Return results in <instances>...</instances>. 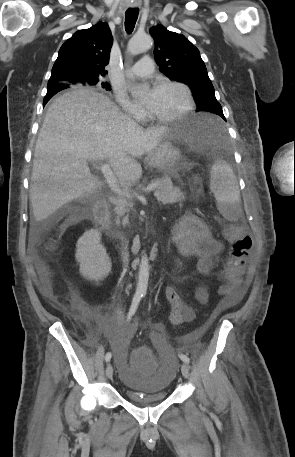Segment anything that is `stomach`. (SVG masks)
<instances>
[{"instance_id": "1", "label": "stomach", "mask_w": 295, "mask_h": 457, "mask_svg": "<svg viewBox=\"0 0 295 457\" xmlns=\"http://www.w3.org/2000/svg\"><path fill=\"white\" fill-rule=\"evenodd\" d=\"M207 124L200 115H192L172 126L163 135L158 146L146 157L147 164L156 170L176 176L183 169L180 145L198 148L211 137Z\"/></svg>"}]
</instances>
